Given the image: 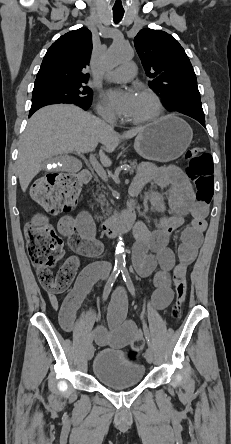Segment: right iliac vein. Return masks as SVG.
<instances>
[{
	"label": "right iliac vein",
	"instance_id": "63e3f726",
	"mask_svg": "<svg viewBox=\"0 0 231 444\" xmlns=\"http://www.w3.org/2000/svg\"><path fill=\"white\" fill-rule=\"evenodd\" d=\"M94 347L92 345H90V347L88 348L87 351V358L90 360L92 359V357L94 356Z\"/></svg>",
	"mask_w": 231,
	"mask_h": 444
}]
</instances>
